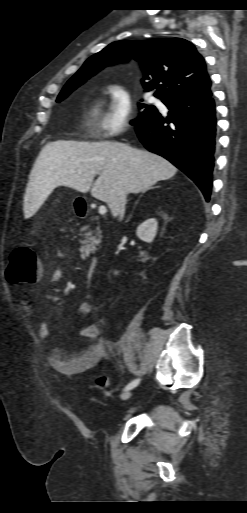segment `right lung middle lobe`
Returning <instances> with one entry per match:
<instances>
[{
	"instance_id": "right-lung-middle-lobe-1",
	"label": "right lung middle lobe",
	"mask_w": 247,
	"mask_h": 513,
	"mask_svg": "<svg viewBox=\"0 0 247 513\" xmlns=\"http://www.w3.org/2000/svg\"><path fill=\"white\" fill-rule=\"evenodd\" d=\"M82 83H84V81H80L75 78L70 79L66 83V85L64 86L62 91L60 92L57 102L63 100L67 95H69L74 89H76ZM139 109H143V112H141L139 114V117L137 119L131 121V124L134 126H136L138 123L144 121L145 119L153 116L157 112V109L152 105L150 106V105L141 104L139 106Z\"/></svg>"
}]
</instances>
